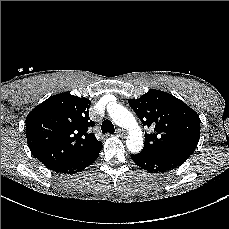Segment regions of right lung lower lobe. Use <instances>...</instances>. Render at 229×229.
Masks as SVG:
<instances>
[{"label": "right lung lower lobe", "instance_id": "98d812e1", "mask_svg": "<svg viewBox=\"0 0 229 229\" xmlns=\"http://www.w3.org/2000/svg\"><path fill=\"white\" fill-rule=\"evenodd\" d=\"M102 149V144L94 149L93 151H90L86 154H83L77 158H74L67 163L58 165L56 167L48 168L52 171H55L57 173H64V174H73L82 171L89 165H91L98 157L99 152Z\"/></svg>", "mask_w": 229, "mask_h": 229}]
</instances>
